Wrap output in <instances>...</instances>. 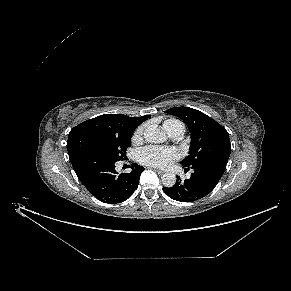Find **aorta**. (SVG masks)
I'll list each match as a JSON object with an SVG mask.
<instances>
[{"instance_id": "762f6f07", "label": "aorta", "mask_w": 291, "mask_h": 291, "mask_svg": "<svg viewBox=\"0 0 291 291\" xmlns=\"http://www.w3.org/2000/svg\"><path fill=\"white\" fill-rule=\"evenodd\" d=\"M144 138L149 143L159 144L166 141L164 131L157 129L156 126L150 125L144 131ZM162 184L165 187H173L176 183V176L173 173H165L161 177Z\"/></svg>"}]
</instances>
